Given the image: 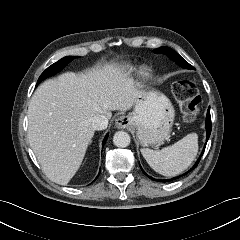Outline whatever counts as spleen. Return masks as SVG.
<instances>
[{"mask_svg": "<svg viewBox=\"0 0 240 240\" xmlns=\"http://www.w3.org/2000/svg\"><path fill=\"white\" fill-rule=\"evenodd\" d=\"M198 152V136L190 133L172 146L160 151L142 148L141 153L149 166L164 176H176L187 169Z\"/></svg>", "mask_w": 240, "mask_h": 240, "instance_id": "1", "label": "spleen"}]
</instances>
